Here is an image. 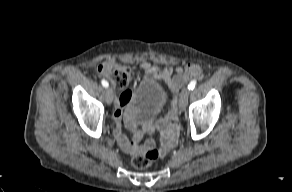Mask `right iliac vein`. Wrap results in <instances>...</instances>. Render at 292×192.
<instances>
[{
  "instance_id": "63e3f726",
  "label": "right iliac vein",
  "mask_w": 292,
  "mask_h": 192,
  "mask_svg": "<svg viewBox=\"0 0 292 192\" xmlns=\"http://www.w3.org/2000/svg\"><path fill=\"white\" fill-rule=\"evenodd\" d=\"M114 98V93L112 88H107L106 89V102L107 104H111Z\"/></svg>"
}]
</instances>
